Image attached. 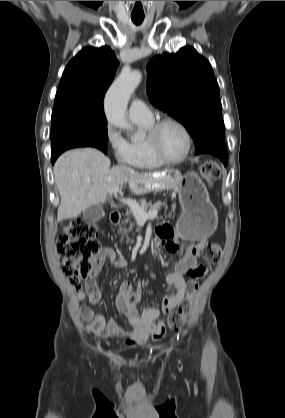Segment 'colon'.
Here are the masks:
<instances>
[{
	"label": "colon",
	"instance_id": "obj_1",
	"mask_svg": "<svg viewBox=\"0 0 285 418\" xmlns=\"http://www.w3.org/2000/svg\"><path fill=\"white\" fill-rule=\"evenodd\" d=\"M205 181L211 184L222 178L223 171L214 161H208L203 166ZM97 227L81 219L68 222L57 239V249L61 255L63 272L70 283L76 287H83L91 275L89 258L99 250L96 239ZM223 252V243L213 241L206 244L202 251L203 259L207 262L217 261ZM198 277H193L187 285V295L178 309L168 316L167 328L179 331L186 323L193 310V300L198 287ZM157 329L165 333L166 327L158 324Z\"/></svg>",
	"mask_w": 285,
	"mask_h": 418
}]
</instances>
